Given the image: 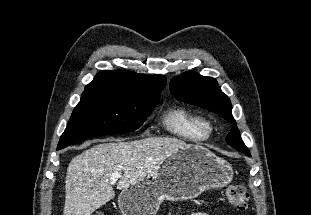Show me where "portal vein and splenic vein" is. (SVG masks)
Wrapping results in <instances>:
<instances>
[{"instance_id": "18ae733b", "label": "portal vein and splenic vein", "mask_w": 311, "mask_h": 215, "mask_svg": "<svg viewBox=\"0 0 311 215\" xmlns=\"http://www.w3.org/2000/svg\"><path fill=\"white\" fill-rule=\"evenodd\" d=\"M119 177H120V173H119V172H115V173L112 174L111 180H112L113 182H116V181L118 180Z\"/></svg>"}]
</instances>
